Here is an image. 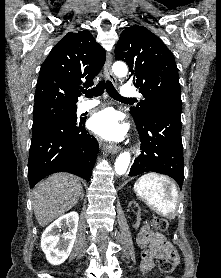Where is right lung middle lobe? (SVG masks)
Instances as JSON below:
<instances>
[{
    "label": "right lung middle lobe",
    "instance_id": "dd1d6c3e",
    "mask_svg": "<svg viewBox=\"0 0 221 278\" xmlns=\"http://www.w3.org/2000/svg\"><path fill=\"white\" fill-rule=\"evenodd\" d=\"M55 120H63L67 122L77 120L76 103L48 101L34 105L32 129Z\"/></svg>",
    "mask_w": 221,
    "mask_h": 278
}]
</instances>
